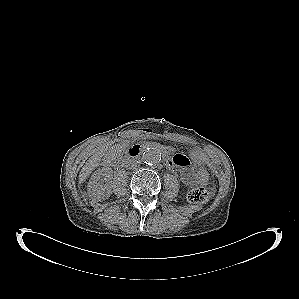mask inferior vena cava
<instances>
[{"label": "inferior vena cava", "mask_w": 299, "mask_h": 299, "mask_svg": "<svg viewBox=\"0 0 299 299\" xmlns=\"http://www.w3.org/2000/svg\"><path fill=\"white\" fill-rule=\"evenodd\" d=\"M140 166V161H137V160H134L132 163H131V168L132 169H137V167Z\"/></svg>", "instance_id": "obj_1"}]
</instances>
